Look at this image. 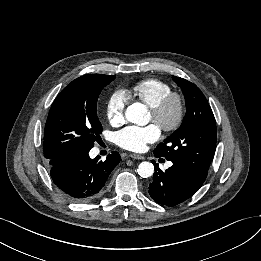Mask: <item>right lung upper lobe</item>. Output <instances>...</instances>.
<instances>
[{"mask_svg": "<svg viewBox=\"0 0 261 261\" xmlns=\"http://www.w3.org/2000/svg\"><path fill=\"white\" fill-rule=\"evenodd\" d=\"M66 158H55V159H51L50 160V165L51 166H54L60 162H62L63 160H65Z\"/></svg>", "mask_w": 261, "mask_h": 261, "instance_id": "cb5924a9", "label": "right lung upper lobe"}]
</instances>
